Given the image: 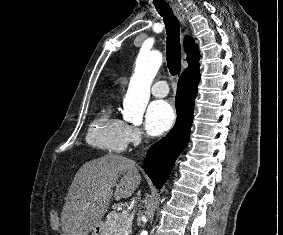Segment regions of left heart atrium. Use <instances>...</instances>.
Listing matches in <instances>:
<instances>
[{"label":"left heart atrium","instance_id":"1","mask_svg":"<svg viewBox=\"0 0 283 235\" xmlns=\"http://www.w3.org/2000/svg\"><path fill=\"white\" fill-rule=\"evenodd\" d=\"M175 120V112L167 101H153L145 115L146 128L149 134L157 136L168 131Z\"/></svg>","mask_w":283,"mask_h":235}]
</instances>
